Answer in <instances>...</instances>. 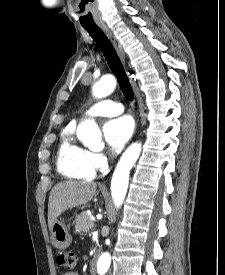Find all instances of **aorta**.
I'll return each mask as SVG.
<instances>
[{
	"label": "aorta",
	"mask_w": 225,
	"mask_h": 275,
	"mask_svg": "<svg viewBox=\"0 0 225 275\" xmlns=\"http://www.w3.org/2000/svg\"><path fill=\"white\" fill-rule=\"evenodd\" d=\"M116 87V79L112 75H105L92 87V94L96 98L110 95ZM78 139L89 149L97 150L102 147L101 132L94 120L82 121L76 131ZM141 143L131 144L121 156L112 176L111 195L116 208H119L125 199L130 170L141 153ZM111 264V256L108 252L103 253L97 262V273L104 275Z\"/></svg>",
	"instance_id": "obj_1"
}]
</instances>
